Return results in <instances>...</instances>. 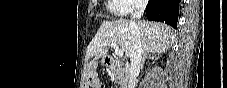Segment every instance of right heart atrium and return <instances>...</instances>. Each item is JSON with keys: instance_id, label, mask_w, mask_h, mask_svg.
<instances>
[{"instance_id": "d8ad5b80", "label": "right heart atrium", "mask_w": 227, "mask_h": 88, "mask_svg": "<svg viewBox=\"0 0 227 88\" xmlns=\"http://www.w3.org/2000/svg\"><path fill=\"white\" fill-rule=\"evenodd\" d=\"M125 4V14H133L143 9L147 3L146 0H123Z\"/></svg>"}]
</instances>
